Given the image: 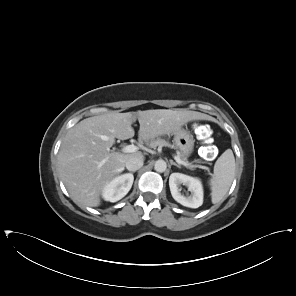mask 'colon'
<instances>
[{"label":"colon","instance_id":"5ec220e1","mask_svg":"<svg viewBox=\"0 0 296 296\" xmlns=\"http://www.w3.org/2000/svg\"><path fill=\"white\" fill-rule=\"evenodd\" d=\"M196 136L202 141L203 146L200 149V156L205 160L213 159L216 156V149L212 144L210 130L203 123H196L193 126Z\"/></svg>","mask_w":296,"mask_h":296}]
</instances>
